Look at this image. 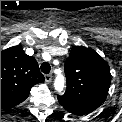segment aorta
<instances>
[{
	"mask_svg": "<svg viewBox=\"0 0 122 122\" xmlns=\"http://www.w3.org/2000/svg\"><path fill=\"white\" fill-rule=\"evenodd\" d=\"M54 86H55V90L57 92L63 91L64 90V87H65L64 77L63 76H58L56 78V80H55Z\"/></svg>",
	"mask_w": 122,
	"mask_h": 122,
	"instance_id": "1",
	"label": "aorta"
}]
</instances>
